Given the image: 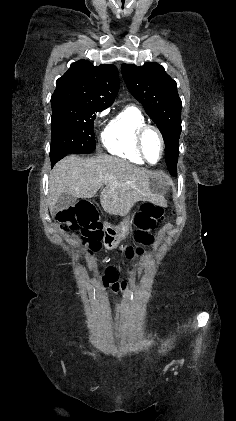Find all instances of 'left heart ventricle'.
I'll list each match as a JSON object with an SVG mask.
<instances>
[{"instance_id":"b2bd125f","label":"left heart ventricle","mask_w":236,"mask_h":421,"mask_svg":"<svg viewBox=\"0 0 236 421\" xmlns=\"http://www.w3.org/2000/svg\"><path fill=\"white\" fill-rule=\"evenodd\" d=\"M144 148L150 163L159 162L162 154V145L159 137L154 132H148L144 138Z\"/></svg>"}]
</instances>
